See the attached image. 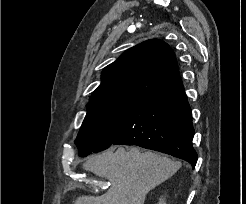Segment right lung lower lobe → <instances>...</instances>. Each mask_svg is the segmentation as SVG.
<instances>
[{
	"instance_id": "right-lung-lower-lobe-1",
	"label": "right lung lower lobe",
	"mask_w": 246,
	"mask_h": 204,
	"mask_svg": "<svg viewBox=\"0 0 246 204\" xmlns=\"http://www.w3.org/2000/svg\"><path fill=\"white\" fill-rule=\"evenodd\" d=\"M191 109L179 76L136 98L111 145H137L183 159L194 168Z\"/></svg>"
}]
</instances>
